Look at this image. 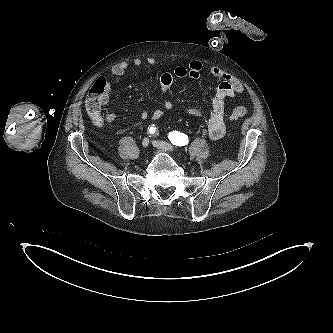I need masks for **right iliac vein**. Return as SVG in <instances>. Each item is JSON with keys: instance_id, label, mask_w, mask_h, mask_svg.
<instances>
[{"instance_id": "1", "label": "right iliac vein", "mask_w": 333, "mask_h": 333, "mask_svg": "<svg viewBox=\"0 0 333 333\" xmlns=\"http://www.w3.org/2000/svg\"><path fill=\"white\" fill-rule=\"evenodd\" d=\"M148 145H149V139H148V138H144V139L142 140V146H143L144 148H146V147H148Z\"/></svg>"}]
</instances>
